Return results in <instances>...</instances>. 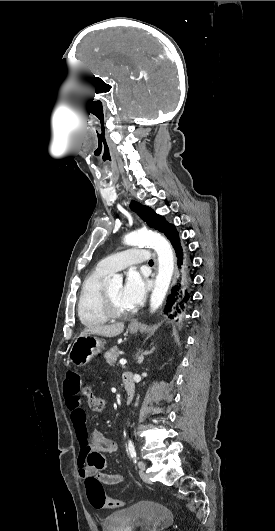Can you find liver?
Returning a JSON list of instances; mask_svg holds the SVG:
<instances>
[{"mask_svg":"<svg viewBox=\"0 0 275 531\" xmlns=\"http://www.w3.org/2000/svg\"><path fill=\"white\" fill-rule=\"evenodd\" d=\"M123 323H114V325H95V327H89L84 329L80 337L83 335H101V337H117L123 333Z\"/></svg>","mask_w":275,"mask_h":531,"instance_id":"obj_1","label":"liver"}]
</instances>
